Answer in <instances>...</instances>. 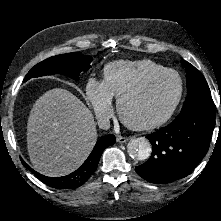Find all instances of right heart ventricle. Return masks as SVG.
<instances>
[{"label": "right heart ventricle", "instance_id": "1", "mask_svg": "<svg viewBox=\"0 0 221 221\" xmlns=\"http://www.w3.org/2000/svg\"><path fill=\"white\" fill-rule=\"evenodd\" d=\"M163 69V65L148 59L115 61L104 67L103 83L112 97L119 98L149 74Z\"/></svg>", "mask_w": 221, "mask_h": 221}]
</instances>
